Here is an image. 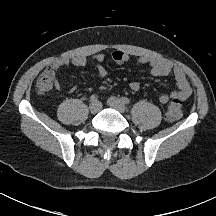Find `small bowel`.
Segmentation results:
<instances>
[{"label":"small bowel","instance_id":"c3829d8e","mask_svg":"<svg viewBox=\"0 0 216 216\" xmlns=\"http://www.w3.org/2000/svg\"><path fill=\"white\" fill-rule=\"evenodd\" d=\"M109 58L117 64H124L129 61L130 55L127 52L117 50L111 52L109 54ZM104 60V54H97L92 57V61L94 62L98 75L100 77H105L107 74L106 69L102 65ZM137 61L140 64L148 65L151 68L152 75L155 77L166 78L170 74L173 75L177 89L170 94L160 95V103L166 104L170 101V99L186 100L191 96L192 91L186 75L184 71L178 66L174 65L166 59L149 55H140L137 57ZM87 63L88 59L84 56L59 58L55 59L47 68V70L52 71L54 74H56L61 67L68 65L83 67ZM56 87L58 90H64L58 80H56ZM129 88L132 91H138L140 89V84L137 81H132L129 83ZM68 91H73V88H69Z\"/></svg>","mask_w":216,"mask_h":216}]
</instances>
